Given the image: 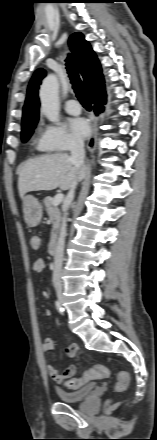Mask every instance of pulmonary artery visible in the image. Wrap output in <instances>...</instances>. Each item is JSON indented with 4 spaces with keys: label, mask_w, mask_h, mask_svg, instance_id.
Returning a JSON list of instances; mask_svg holds the SVG:
<instances>
[{
    "label": "pulmonary artery",
    "mask_w": 157,
    "mask_h": 440,
    "mask_svg": "<svg viewBox=\"0 0 157 440\" xmlns=\"http://www.w3.org/2000/svg\"><path fill=\"white\" fill-rule=\"evenodd\" d=\"M64 108L69 114L73 115H77L81 112L80 104L75 100L66 101Z\"/></svg>",
    "instance_id": "obj_1"
}]
</instances>
